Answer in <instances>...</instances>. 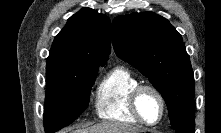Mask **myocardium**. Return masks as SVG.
Returning a JSON list of instances; mask_svg holds the SVG:
<instances>
[{"label":"myocardium","mask_w":221,"mask_h":133,"mask_svg":"<svg viewBox=\"0 0 221 133\" xmlns=\"http://www.w3.org/2000/svg\"><path fill=\"white\" fill-rule=\"evenodd\" d=\"M144 92L153 93L160 103L161 114H160V117L158 118V120L155 122H148L143 117V115L140 111L139 99ZM129 106H130V110H131L133 116L140 123H142L146 126H150V127L160 124L166 114V102H165V98H164L163 94L161 93V91L158 88H156L155 86H152V85H148V84H140L136 88L133 89V91L130 94V98H129Z\"/></svg>","instance_id":"obj_1"}]
</instances>
